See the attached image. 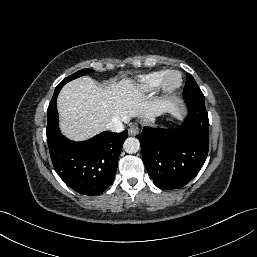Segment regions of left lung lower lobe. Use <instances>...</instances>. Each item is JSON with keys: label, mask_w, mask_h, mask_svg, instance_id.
<instances>
[{"label": "left lung lower lobe", "mask_w": 257, "mask_h": 257, "mask_svg": "<svg viewBox=\"0 0 257 257\" xmlns=\"http://www.w3.org/2000/svg\"><path fill=\"white\" fill-rule=\"evenodd\" d=\"M188 115L177 129L144 127L138 134L142 157L154 184L179 189L202 168L209 149V120L205 102L185 100Z\"/></svg>", "instance_id": "left-lung-lower-lobe-1"}]
</instances>
